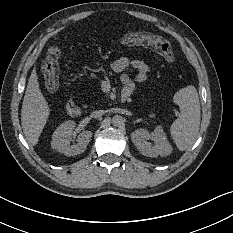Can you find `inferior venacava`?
I'll use <instances>...</instances> for the list:
<instances>
[{"label":"inferior vena cava","instance_id":"1","mask_svg":"<svg viewBox=\"0 0 233 233\" xmlns=\"http://www.w3.org/2000/svg\"><path fill=\"white\" fill-rule=\"evenodd\" d=\"M105 114L104 110H95L91 113V117L93 118H99Z\"/></svg>","mask_w":233,"mask_h":233}]
</instances>
